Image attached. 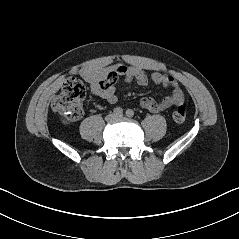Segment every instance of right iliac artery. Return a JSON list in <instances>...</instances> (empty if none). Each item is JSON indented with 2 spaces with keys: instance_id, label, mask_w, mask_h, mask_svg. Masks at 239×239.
I'll use <instances>...</instances> for the list:
<instances>
[{
  "instance_id": "obj_1",
  "label": "right iliac artery",
  "mask_w": 239,
  "mask_h": 239,
  "mask_svg": "<svg viewBox=\"0 0 239 239\" xmlns=\"http://www.w3.org/2000/svg\"><path fill=\"white\" fill-rule=\"evenodd\" d=\"M114 114H115V115H122V114H123V109L120 108V107H116V108L114 109Z\"/></svg>"
}]
</instances>
